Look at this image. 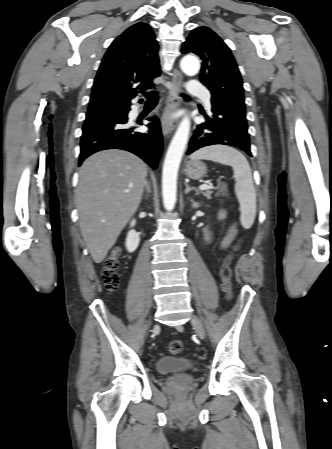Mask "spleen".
Instances as JSON below:
<instances>
[{"mask_svg": "<svg viewBox=\"0 0 332 449\" xmlns=\"http://www.w3.org/2000/svg\"><path fill=\"white\" fill-rule=\"evenodd\" d=\"M191 160H211L232 167L235 179V194L240 203L241 224L250 228L256 216V192L252 180L251 168L247 159L236 149L215 145L194 152Z\"/></svg>", "mask_w": 332, "mask_h": 449, "instance_id": "obj_1", "label": "spleen"}]
</instances>
